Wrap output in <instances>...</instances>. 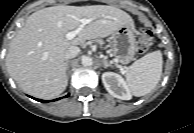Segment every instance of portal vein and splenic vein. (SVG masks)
<instances>
[{
  "instance_id": "18ae733b",
  "label": "portal vein and splenic vein",
  "mask_w": 194,
  "mask_h": 133,
  "mask_svg": "<svg viewBox=\"0 0 194 133\" xmlns=\"http://www.w3.org/2000/svg\"><path fill=\"white\" fill-rule=\"evenodd\" d=\"M90 22H91V19H86V18L81 19L80 20V26L76 30L68 32L66 34V38L68 40L73 39L74 37H76L80 33V31L84 28V26L87 25Z\"/></svg>"
}]
</instances>
